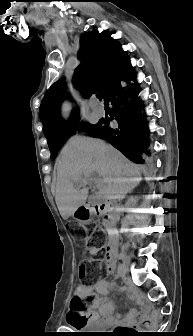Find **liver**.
<instances>
[{"label": "liver", "mask_w": 193, "mask_h": 336, "mask_svg": "<svg viewBox=\"0 0 193 336\" xmlns=\"http://www.w3.org/2000/svg\"><path fill=\"white\" fill-rule=\"evenodd\" d=\"M56 170L55 201L65 220L86 203L89 190L83 180L94 172L102 177L96 187L99 197L106 200L124 198L142 181L141 167L113 146L88 137H75L64 146Z\"/></svg>", "instance_id": "obj_1"}]
</instances>
